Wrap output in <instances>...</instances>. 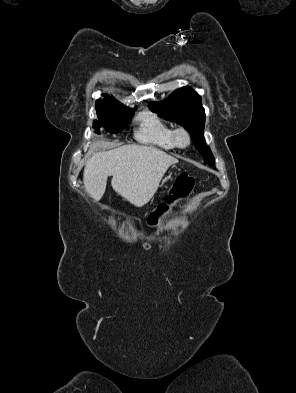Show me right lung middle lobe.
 Instances as JSON below:
<instances>
[{
  "label": "right lung middle lobe",
  "instance_id": "dd1d6c3e",
  "mask_svg": "<svg viewBox=\"0 0 296 393\" xmlns=\"http://www.w3.org/2000/svg\"><path fill=\"white\" fill-rule=\"evenodd\" d=\"M135 108H129L117 101L96 104L97 117L99 121L93 123L96 133L99 134L100 127L111 134L121 132L126 128L134 115Z\"/></svg>",
  "mask_w": 296,
  "mask_h": 393
}]
</instances>
